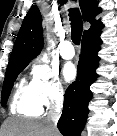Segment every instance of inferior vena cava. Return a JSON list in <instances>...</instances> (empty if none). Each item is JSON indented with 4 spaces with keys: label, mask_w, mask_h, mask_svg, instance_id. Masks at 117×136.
<instances>
[{
    "label": "inferior vena cava",
    "mask_w": 117,
    "mask_h": 136,
    "mask_svg": "<svg viewBox=\"0 0 117 136\" xmlns=\"http://www.w3.org/2000/svg\"><path fill=\"white\" fill-rule=\"evenodd\" d=\"M61 112L62 99L58 98L56 103L50 108L46 119L47 127L51 136H54V133L57 131V122L61 116Z\"/></svg>",
    "instance_id": "1"
}]
</instances>
